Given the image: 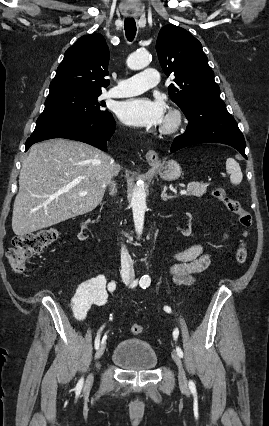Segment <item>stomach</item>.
Listing matches in <instances>:
<instances>
[{
    "label": "stomach",
    "instance_id": "1",
    "mask_svg": "<svg viewBox=\"0 0 269 426\" xmlns=\"http://www.w3.org/2000/svg\"><path fill=\"white\" fill-rule=\"evenodd\" d=\"M153 167L158 171L162 179L168 181L176 180L182 174L181 166L175 160H168L162 165H153Z\"/></svg>",
    "mask_w": 269,
    "mask_h": 426
}]
</instances>
